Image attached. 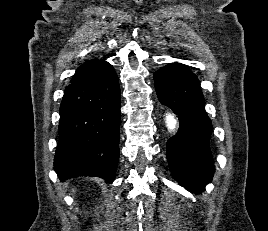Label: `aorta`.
Here are the masks:
<instances>
[{"instance_id": "obj_1", "label": "aorta", "mask_w": 268, "mask_h": 231, "mask_svg": "<svg viewBox=\"0 0 268 231\" xmlns=\"http://www.w3.org/2000/svg\"><path fill=\"white\" fill-rule=\"evenodd\" d=\"M166 126L169 131L173 132L177 128V120L173 114H166L165 116Z\"/></svg>"}]
</instances>
